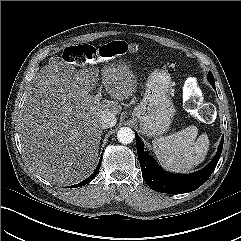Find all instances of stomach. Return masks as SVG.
<instances>
[{
  "instance_id": "obj_1",
  "label": "stomach",
  "mask_w": 241,
  "mask_h": 241,
  "mask_svg": "<svg viewBox=\"0 0 241 241\" xmlns=\"http://www.w3.org/2000/svg\"><path fill=\"white\" fill-rule=\"evenodd\" d=\"M172 86L171 77L166 71H154L149 76L143 98L132 112L142 134L156 137L169 129L176 113L171 99Z\"/></svg>"
}]
</instances>
